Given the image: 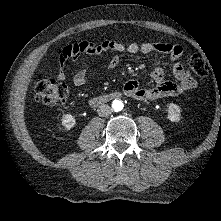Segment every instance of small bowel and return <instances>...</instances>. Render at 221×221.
Instances as JSON below:
<instances>
[{"label": "small bowel", "mask_w": 221, "mask_h": 221, "mask_svg": "<svg viewBox=\"0 0 221 221\" xmlns=\"http://www.w3.org/2000/svg\"><path fill=\"white\" fill-rule=\"evenodd\" d=\"M125 51L130 54L158 52L169 55L171 61H173L172 73L175 81L165 80L163 69L157 64H152L150 75L156 83L153 88L143 89L137 80H129L124 84L125 93L136 100L152 101L176 96L197 86V82L190 72L178 61L183 53V48L178 44L166 42H144L138 44L133 42L125 46L113 40H105L101 43L82 41L78 44L66 46L62 51L60 60L62 63L65 62L68 54L98 56L105 52H112L113 56L109 60L108 68L113 69L119 64L120 58L118 54ZM88 77V70L85 68L80 69L73 76V82L76 86H83L87 83ZM58 78L64 79L62 71L59 73Z\"/></svg>", "instance_id": "obj_1"}]
</instances>
